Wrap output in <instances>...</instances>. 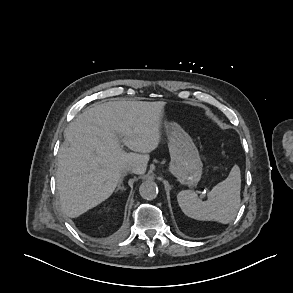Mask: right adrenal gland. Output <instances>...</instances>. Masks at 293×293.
<instances>
[{
    "label": "right adrenal gland",
    "instance_id": "1",
    "mask_svg": "<svg viewBox=\"0 0 293 293\" xmlns=\"http://www.w3.org/2000/svg\"><path fill=\"white\" fill-rule=\"evenodd\" d=\"M124 177H125V174L122 175V177H121V179H120V181H119V184H118L117 189H116L115 192H117V191H119V190L123 191V190L125 189L124 186H122V183H123V179H124Z\"/></svg>",
    "mask_w": 293,
    "mask_h": 293
}]
</instances>
